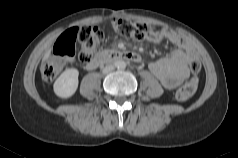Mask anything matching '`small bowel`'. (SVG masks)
Returning a JSON list of instances; mask_svg holds the SVG:
<instances>
[{
  "label": "small bowel",
  "instance_id": "obj_1",
  "mask_svg": "<svg viewBox=\"0 0 238 158\" xmlns=\"http://www.w3.org/2000/svg\"><path fill=\"white\" fill-rule=\"evenodd\" d=\"M149 39L155 43L167 40L175 46L169 56L149 63L150 71L160 83L167 89H175L188 78V65L196 59L195 50L183 37L166 28L160 30L158 35Z\"/></svg>",
  "mask_w": 238,
  "mask_h": 158
}]
</instances>
